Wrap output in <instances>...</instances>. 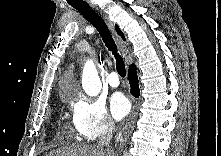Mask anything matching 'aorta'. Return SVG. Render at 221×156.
<instances>
[{
    "mask_svg": "<svg viewBox=\"0 0 221 156\" xmlns=\"http://www.w3.org/2000/svg\"><path fill=\"white\" fill-rule=\"evenodd\" d=\"M82 87L89 96H97L102 84L97 69L92 60L87 61L82 73Z\"/></svg>",
    "mask_w": 221,
    "mask_h": 156,
    "instance_id": "762f6f07",
    "label": "aorta"
}]
</instances>
